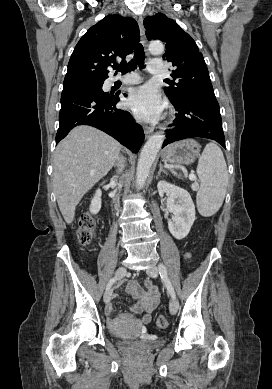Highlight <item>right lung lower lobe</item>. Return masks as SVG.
Returning <instances> with one entry per match:
<instances>
[{"instance_id":"obj_1","label":"right lung lower lobe","mask_w":272,"mask_h":389,"mask_svg":"<svg viewBox=\"0 0 272 389\" xmlns=\"http://www.w3.org/2000/svg\"><path fill=\"white\" fill-rule=\"evenodd\" d=\"M119 100V93L89 88H63L56 144L72 127L90 125L137 153L144 141L143 129L135 123L129 112L116 109Z\"/></svg>"}]
</instances>
